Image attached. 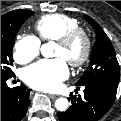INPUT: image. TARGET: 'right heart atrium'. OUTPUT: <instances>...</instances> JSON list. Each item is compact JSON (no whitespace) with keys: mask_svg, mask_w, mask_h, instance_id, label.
<instances>
[{"mask_svg":"<svg viewBox=\"0 0 121 121\" xmlns=\"http://www.w3.org/2000/svg\"><path fill=\"white\" fill-rule=\"evenodd\" d=\"M40 40L33 35H23L17 39L14 45V59L25 64L35 59L40 53Z\"/></svg>","mask_w":121,"mask_h":121,"instance_id":"obj_1","label":"right heart atrium"}]
</instances>
